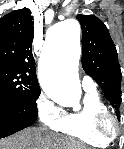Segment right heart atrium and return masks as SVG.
<instances>
[{"instance_id":"d8ad5b80","label":"right heart atrium","mask_w":124,"mask_h":149,"mask_svg":"<svg viewBox=\"0 0 124 149\" xmlns=\"http://www.w3.org/2000/svg\"><path fill=\"white\" fill-rule=\"evenodd\" d=\"M36 112L40 122L51 130L57 129L64 116V110L44 94L37 100Z\"/></svg>"}]
</instances>
